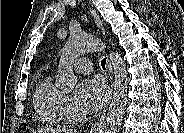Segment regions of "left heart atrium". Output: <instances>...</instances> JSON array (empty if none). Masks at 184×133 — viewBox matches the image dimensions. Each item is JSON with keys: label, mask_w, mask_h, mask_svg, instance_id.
Wrapping results in <instances>:
<instances>
[{"label": "left heart atrium", "mask_w": 184, "mask_h": 133, "mask_svg": "<svg viewBox=\"0 0 184 133\" xmlns=\"http://www.w3.org/2000/svg\"><path fill=\"white\" fill-rule=\"evenodd\" d=\"M108 87L100 78L86 79L76 88L74 99L77 108L85 113L98 111L107 101Z\"/></svg>", "instance_id": "left-heart-atrium-1"}]
</instances>
